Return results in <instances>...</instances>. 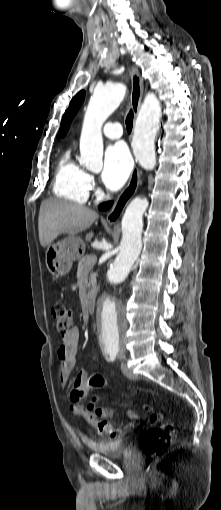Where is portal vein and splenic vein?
<instances>
[{
	"label": "portal vein and splenic vein",
	"mask_w": 221,
	"mask_h": 510,
	"mask_svg": "<svg viewBox=\"0 0 221 510\" xmlns=\"http://www.w3.org/2000/svg\"><path fill=\"white\" fill-rule=\"evenodd\" d=\"M90 260H91L92 262H96V260H97L96 255H92V257H91V259H90Z\"/></svg>",
	"instance_id": "obj_1"
}]
</instances>
